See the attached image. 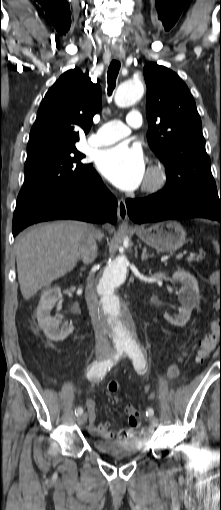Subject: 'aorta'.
I'll list each match as a JSON object with an SVG mask.
<instances>
[{"label":"aorta","instance_id":"1","mask_svg":"<svg viewBox=\"0 0 221 510\" xmlns=\"http://www.w3.org/2000/svg\"><path fill=\"white\" fill-rule=\"evenodd\" d=\"M143 93L144 86L140 80L126 81L117 88L115 103L122 108L132 106L141 99ZM128 265L125 255L117 256L108 263L96 283L101 317L118 350L138 346L129 309L117 293L118 288L126 281Z\"/></svg>","mask_w":221,"mask_h":510}]
</instances>
